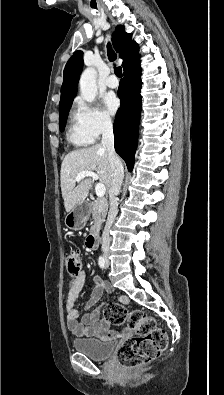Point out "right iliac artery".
Returning <instances> with one entry per match:
<instances>
[{"label": "right iliac artery", "mask_w": 224, "mask_h": 395, "mask_svg": "<svg viewBox=\"0 0 224 395\" xmlns=\"http://www.w3.org/2000/svg\"><path fill=\"white\" fill-rule=\"evenodd\" d=\"M98 264H99L100 268H102V269L105 268L106 263H105V258L103 256L99 257Z\"/></svg>", "instance_id": "82829eb1"}]
</instances>
